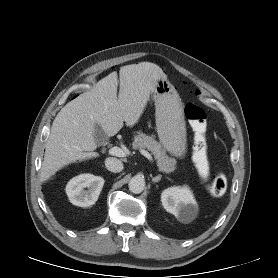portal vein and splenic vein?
I'll use <instances>...</instances> for the list:
<instances>
[{"mask_svg":"<svg viewBox=\"0 0 278 278\" xmlns=\"http://www.w3.org/2000/svg\"><path fill=\"white\" fill-rule=\"evenodd\" d=\"M140 153L143 156H145L151 163H153V158H152L151 154L148 151H146L144 149H140ZM109 154L112 155V156H117V157H125V156H127V153L123 149H121V148H119L117 146H114V147L110 148L109 149Z\"/></svg>","mask_w":278,"mask_h":278,"instance_id":"1","label":"portal vein and splenic vein"}]
</instances>
